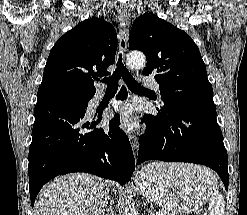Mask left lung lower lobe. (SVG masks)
Returning a JSON list of instances; mask_svg holds the SVG:
<instances>
[{
	"label": "left lung lower lobe",
	"mask_w": 247,
	"mask_h": 215,
	"mask_svg": "<svg viewBox=\"0 0 247 215\" xmlns=\"http://www.w3.org/2000/svg\"><path fill=\"white\" fill-rule=\"evenodd\" d=\"M157 110V116L143 118L147 130L140 136L137 163L161 160L206 165L218 173L227 190L228 156L216 109L184 106L172 111Z\"/></svg>",
	"instance_id": "left-lung-lower-lobe-1"
}]
</instances>
